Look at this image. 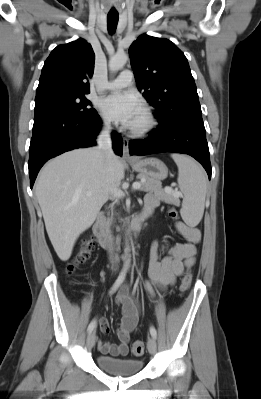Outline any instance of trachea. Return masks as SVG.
<instances>
[{
	"label": "trachea",
	"mask_w": 261,
	"mask_h": 399,
	"mask_svg": "<svg viewBox=\"0 0 261 399\" xmlns=\"http://www.w3.org/2000/svg\"><path fill=\"white\" fill-rule=\"evenodd\" d=\"M118 14H108L107 15V26L108 31L112 34L115 32L117 24H118Z\"/></svg>",
	"instance_id": "obj_1"
}]
</instances>
